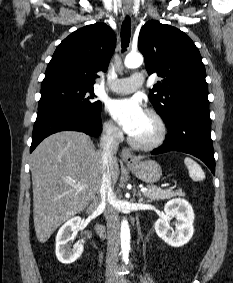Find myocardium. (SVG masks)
Returning a JSON list of instances; mask_svg holds the SVG:
<instances>
[{
    "instance_id": "1",
    "label": "myocardium",
    "mask_w": 233,
    "mask_h": 283,
    "mask_svg": "<svg viewBox=\"0 0 233 283\" xmlns=\"http://www.w3.org/2000/svg\"><path fill=\"white\" fill-rule=\"evenodd\" d=\"M145 113L151 116L158 126V133L156 137L150 141H139L129 134L128 141L133 147L137 149L152 150L162 145L165 141L167 136V125L163 117L156 110L147 109Z\"/></svg>"
}]
</instances>
